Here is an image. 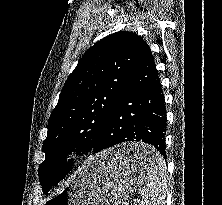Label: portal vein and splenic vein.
I'll use <instances>...</instances> for the list:
<instances>
[{"mask_svg": "<svg viewBox=\"0 0 222 205\" xmlns=\"http://www.w3.org/2000/svg\"><path fill=\"white\" fill-rule=\"evenodd\" d=\"M139 202V200L138 199H134V203H138Z\"/></svg>", "mask_w": 222, "mask_h": 205, "instance_id": "obj_1", "label": "portal vein and splenic vein"}]
</instances>
